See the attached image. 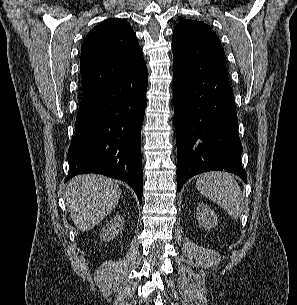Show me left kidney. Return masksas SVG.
I'll return each instance as SVG.
<instances>
[{
  "label": "left kidney",
  "instance_id": "left-kidney-1",
  "mask_svg": "<svg viewBox=\"0 0 297 305\" xmlns=\"http://www.w3.org/2000/svg\"><path fill=\"white\" fill-rule=\"evenodd\" d=\"M197 219L200 226L211 229L217 225V216L206 204L197 205Z\"/></svg>",
  "mask_w": 297,
  "mask_h": 305
}]
</instances>
